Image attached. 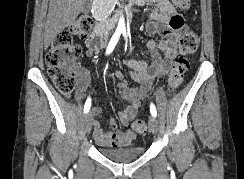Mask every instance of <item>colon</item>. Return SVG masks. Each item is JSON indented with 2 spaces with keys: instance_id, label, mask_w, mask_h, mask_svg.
Segmentation results:
<instances>
[{
  "instance_id": "1",
  "label": "colon",
  "mask_w": 244,
  "mask_h": 179,
  "mask_svg": "<svg viewBox=\"0 0 244 179\" xmlns=\"http://www.w3.org/2000/svg\"><path fill=\"white\" fill-rule=\"evenodd\" d=\"M175 5L179 10H187L191 3L188 0H176ZM91 27L92 22L89 19L82 18L77 20L67 30L61 31L48 49L46 55L48 74L57 90L61 93L71 94L76 88L74 71L82 49L79 45L72 43V34L87 35L90 33ZM199 42V35L194 31H187L180 38L179 46L184 56L177 59L169 72L167 89L170 93L175 92L181 86L184 74L189 65L185 56L196 52L199 47ZM131 126L136 132H147V126L142 120L132 121Z\"/></svg>"
}]
</instances>
